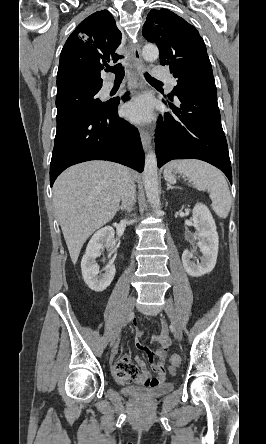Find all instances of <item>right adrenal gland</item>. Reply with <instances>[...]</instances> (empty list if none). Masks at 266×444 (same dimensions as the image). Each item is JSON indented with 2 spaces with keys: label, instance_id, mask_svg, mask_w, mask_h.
Wrapping results in <instances>:
<instances>
[{
  "label": "right adrenal gland",
  "instance_id": "obj_1",
  "mask_svg": "<svg viewBox=\"0 0 266 444\" xmlns=\"http://www.w3.org/2000/svg\"><path fill=\"white\" fill-rule=\"evenodd\" d=\"M119 210L124 211V208H123L122 206H120V207L118 208V211H119Z\"/></svg>",
  "mask_w": 266,
  "mask_h": 444
}]
</instances>
